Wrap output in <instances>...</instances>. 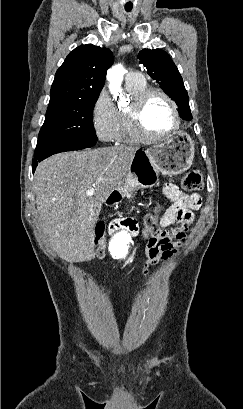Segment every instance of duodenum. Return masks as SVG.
<instances>
[{
  "mask_svg": "<svg viewBox=\"0 0 243 409\" xmlns=\"http://www.w3.org/2000/svg\"><path fill=\"white\" fill-rule=\"evenodd\" d=\"M119 200L120 195L115 191L108 197L107 204L112 205L117 203ZM119 229H125L130 232H133L135 230V222L132 221L131 219H122L112 223V225L110 226V230L112 231Z\"/></svg>",
  "mask_w": 243,
  "mask_h": 409,
  "instance_id": "obj_1",
  "label": "duodenum"
}]
</instances>
